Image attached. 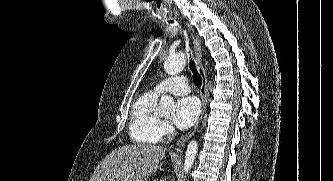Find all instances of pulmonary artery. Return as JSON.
Instances as JSON below:
<instances>
[{"label": "pulmonary artery", "instance_id": "obj_1", "mask_svg": "<svg viewBox=\"0 0 333 181\" xmlns=\"http://www.w3.org/2000/svg\"><path fill=\"white\" fill-rule=\"evenodd\" d=\"M168 91L175 95H186L190 92L186 78L184 76H177L166 79L155 87V93L160 94Z\"/></svg>", "mask_w": 333, "mask_h": 181}]
</instances>
